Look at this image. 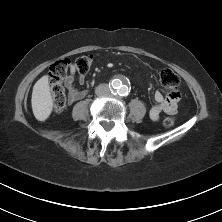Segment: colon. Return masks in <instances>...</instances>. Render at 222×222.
I'll return each instance as SVG.
<instances>
[{"instance_id":"colon-1","label":"colon","mask_w":222,"mask_h":222,"mask_svg":"<svg viewBox=\"0 0 222 222\" xmlns=\"http://www.w3.org/2000/svg\"><path fill=\"white\" fill-rule=\"evenodd\" d=\"M93 55L85 53L80 55L73 63L69 59H61L54 62L49 68L50 88L53 95V109L56 113H61L67 104V94L64 85L65 79L71 67H74L80 74L84 75L91 69ZM161 86L170 92L179 88L180 77L170 69H164L159 76ZM168 100V99H167ZM176 112L170 114L163 121L166 128L172 127L176 122Z\"/></svg>"}]
</instances>
